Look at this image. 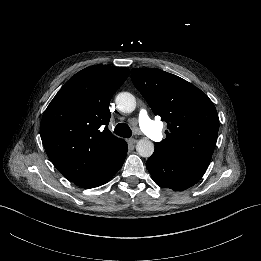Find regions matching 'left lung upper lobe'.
<instances>
[{
    "label": "left lung upper lobe",
    "mask_w": 261,
    "mask_h": 261,
    "mask_svg": "<svg viewBox=\"0 0 261 261\" xmlns=\"http://www.w3.org/2000/svg\"><path fill=\"white\" fill-rule=\"evenodd\" d=\"M131 79L168 131L155 147L168 155L210 163L219 129L214 104L186 80L156 68H134Z\"/></svg>",
    "instance_id": "5c2ea615"
}]
</instances>
